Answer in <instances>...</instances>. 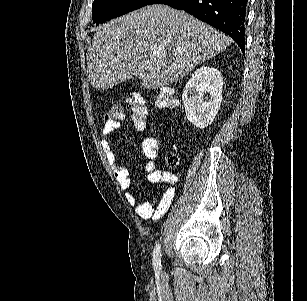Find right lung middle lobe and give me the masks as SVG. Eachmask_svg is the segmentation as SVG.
<instances>
[{
    "instance_id": "dd1d6c3e",
    "label": "right lung middle lobe",
    "mask_w": 307,
    "mask_h": 301,
    "mask_svg": "<svg viewBox=\"0 0 307 301\" xmlns=\"http://www.w3.org/2000/svg\"><path fill=\"white\" fill-rule=\"evenodd\" d=\"M150 0H94L92 20L96 25L147 5Z\"/></svg>"
}]
</instances>
